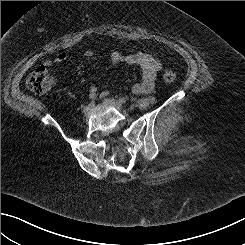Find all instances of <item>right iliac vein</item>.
<instances>
[{"label": "right iliac vein", "mask_w": 245, "mask_h": 245, "mask_svg": "<svg viewBox=\"0 0 245 245\" xmlns=\"http://www.w3.org/2000/svg\"><path fill=\"white\" fill-rule=\"evenodd\" d=\"M91 107L89 106V105H87V106H85L84 107V109H83V114L85 115V116H88L89 115V113H90V111H91Z\"/></svg>", "instance_id": "1"}]
</instances>
